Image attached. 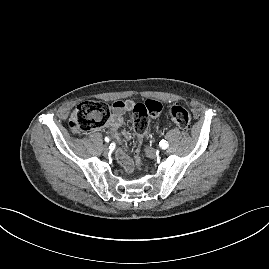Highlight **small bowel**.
Returning <instances> with one entry per match:
<instances>
[{
	"instance_id": "small-bowel-1",
	"label": "small bowel",
	"mask_w": 269,
	"mask_h": 269,
	"mask_svg": "<svg viewBox=\"0 0 269 269\" xmlns=\"http://www.w3.org/2000/svg\"><path fill=\"white\" fill-rule=\"evenodd\" d=\"M134 106L135 104L131 100L113 103V114L108 121L107 130L115 139H119V130L123 126L125 113L132 111ZM121 136L125 140L131 139V133L127 130H123ZM116 158L127 173H131L134 170L133 161L124 149L120 148L116 151Z\"/></svg>"
}]
</instances>
